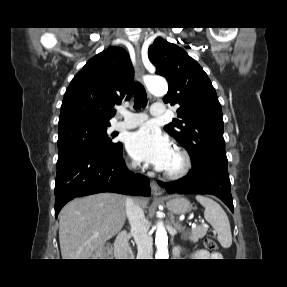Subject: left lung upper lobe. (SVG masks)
Returning <instances> with one entry per match:
<instances>
[{"label": "left lung upper lobe", "mask_w": 287, "mask_h": 287, "mask_svg": "<svg viewBox=\"0 0 287 287\" xmlns=\"http://www.w3.org/2000/svg\"><path fill=\"white\" fill-rule=\"evenodd\" d=\"M156 73L169 82L165 103L179 105L178 119L164 127L188 151L193 173L228 171L221 105L202 67L182 48L161 37L148 50Z\"/></svg>", "instance_id": "5c2ea615"}]
</instances>
